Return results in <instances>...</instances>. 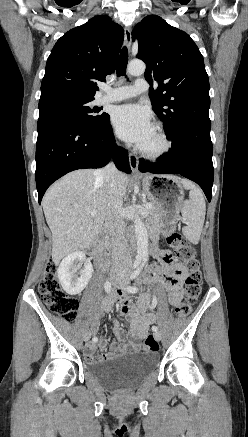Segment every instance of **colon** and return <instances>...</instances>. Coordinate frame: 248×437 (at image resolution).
I'll use <instances>...</instances> for the list:
<instances>
[{"label":"colon","instance_id":"1","mask_svg":"<svg viewBox=\"0 0 248 437\" xmlns=\"http://www.w3.org/2000/svg\"><path fill=\"white\" fill-rule=\"evenodd\" d=\"M169 245L175 250L178 258L186 265L188 275L185 280V296L176 308L179 317L190 314L202 291V273L197 258L196 248L180 233L174 232L168 237ZM39 293L43 302L54 313L66 321H73L78 311V300L68 295L61 287L57 276V264L50 262L39 283ZM144 350L153 352L159 350V342L154 336L145 339Z\"/></svg>","mask_w":248,"mask_h":437}]
</instances>
